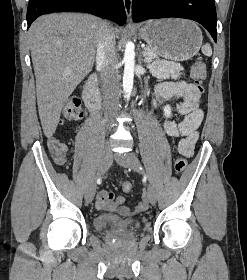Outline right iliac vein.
<instances>
[{
    "instance_id": "63e3f726",
    "label": "right iliac vein",
    "mask_w": 247,
    "mask_h": 280,
    "mask_svg": "<svg viewBox=\"0 0 247 280\" xmlns=\"http://www.w3.org/2000/svg\"><path fill=\"white\" fill-rule=\"evenodd\" d=\"M113 160L112 151L109 148H106L101 156L98 172L96 178L91 182L89 185L86 193H85V200L87 203L92 202L95 192H96V179L101 177L111 166Z\"/></svg>"
}]
</instances>
